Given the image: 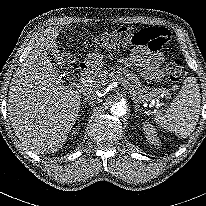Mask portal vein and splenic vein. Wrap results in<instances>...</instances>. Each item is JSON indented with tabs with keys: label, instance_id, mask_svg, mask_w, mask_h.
<instances>
[{
	"label": "portal vein and splenic vein",
	"instance_id": "18ae733b",
	"mask_svg": "<svg viewBox=\"0 0 206 206\" xmlns=\"http://www.w3.org/2000/svg\"><path fill=\"white\" fill-rule=\"evenodd\" d=\"M123 84H127V82L126 81H123ZM87 85H81V86H78V87H86ZM136 96V95H135ZM136 98H137V100L138 101H144V100H141V98L137 95L136 96ZM152 104L154 105V104H157V106H162V103H159V102H156L155 103V101L153 100L152 101Z\"/></svg>",
	"mask_w": 206,
	"mask_h": 206
}]
</instances>
